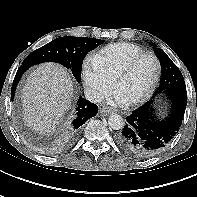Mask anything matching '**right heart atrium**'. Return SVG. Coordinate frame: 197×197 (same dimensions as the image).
<instances>
[{
    "label": "right heart atrium",
    "mask_w": 197,
    "mask_h": 197,
    "mask_svg": "<svg viewBox=\"0 0 197 197\" xmlns=\"http://www.w3.org/2000/svg\"><path fill=\"white\" fill-rule=\"evenodd\" d=\"M82 77L88 95L93 100L102 99L113 86V78L96 67L92 59L86 61L82 69Z\"/></svg>",
    "instance_id": "right-heart-atrium-1"
}]
</instances>
